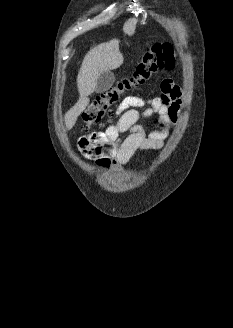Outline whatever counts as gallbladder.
<instances>
[{"label": "gallbladder", "mask_w": 233, "mask_h": 328, "mask_svg": "<svg viewBox=\"0 0 233 328\" xmlns=\"http://www.w3.org/2000/svg\"><path fill=\"white\" fill-rule=\"evenodd\" d=\"M115 76L111 71H104L100 74L97 79V85L95 91L97 93H102L108 90L114 83Z\"/></svg>", "instance_id": "gallbladder-1"}]
</instances>
